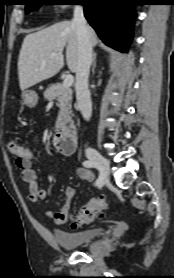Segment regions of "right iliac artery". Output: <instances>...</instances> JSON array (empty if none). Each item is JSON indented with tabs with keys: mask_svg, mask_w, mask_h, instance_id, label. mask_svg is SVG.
Listing matches in <instances>:
<instances>
[{
	"mask_svg": "<svg viewBox=\"0 0 174 278\" xmlns=\"http://www.w3.org/2000/svg\"><path fill=\"white\" fill-rule=\"evenodd\" d=\"M83 166H84V167H87V168H96V169L99 170L100 174H99L98 179H97L96 182H95V185L101 187V186L104 184L105 176H104V174H103V172H102L100 166H99L96 162H94V161H92V160L84 161V162H83Z\"/></svg>",
	"mask_w": 174,
	"mask_h": 278,
	"instance_id": "obj_1",
	"label": "right iliac artery"
}]
</instances>
